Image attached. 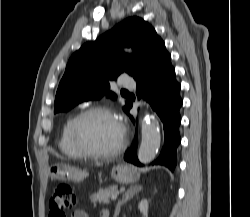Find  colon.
<instances>
[{
  "label": "colon",
  "instance_id": "1",
  "mask_svg": "<svg viewBox=\"0 0 250 217\" xmlns=\"http://www.w3.org/2000/svg\"><path fill=\"white\" fill-rule=\"evenodd\" d=\"M75 205V195L69 184L59 183L49 199L48 217H67L68 212Z\"/></svg>",
  "mask_w": 250,
  "mask_h": 217
}]
</instances>
